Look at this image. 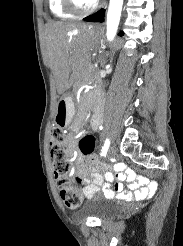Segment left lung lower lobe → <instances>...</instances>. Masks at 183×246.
I'll return each mask as SVG.
<instances>
[{"instance_id": "1", "label": "left lung lower lobe", "mask_w": 183, "mask_h": 246, "mask_svg": "<svg viewBox=\"0 0 183 246\" xmlns=\"http://www.w3.org/2000/svg\"><path fill=\"white\" fill-rule=\"evenodd\" d=\"M85 21L89 22H103L104 21V9L99 10L95 14H92L86 18H84ZM120 36L123 35V33L119 34Z\"/></svg>"}]
</instances>
